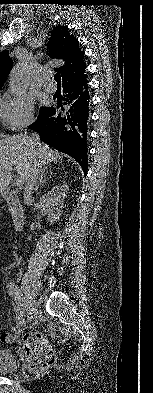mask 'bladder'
Returning a JSON list of instances; mask_svg holds the SVG:
<instances>
[{
	"instance_id": "31cf9c89",
	"label": "bladder",
	"mask_w": 153,
	"mask_h": 393,
	"mask_svg": "<svg viewBox=\"0 0 153 393\" xmlns=\"http://www.w3.org/2000/svg\"><path fill=\"white\" fill-rule=\"evenodd\" d=\"M11 367V362L7 359V351L5 349H0V370L11 369Z\"/></svg>"
}]
</instances>
